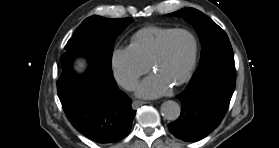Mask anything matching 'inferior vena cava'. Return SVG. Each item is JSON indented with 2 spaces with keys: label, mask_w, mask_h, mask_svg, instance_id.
I'll return each mask as SVG.
<instances>
[{
  "label": "inferior vena cava",
  "mask_w": 279,
  "mask_h": 148,
  "mask_svg": "<svg viewBox=\"0 0 279 148\" xmlns=\"http://www.w3.org/2000/svg\"><path fill=\"white\" fill-rule=\"evenodd\" d=\"M118 83L125 89L132 91L136 88L137 81L132 78H121Z\"/></svg>",
  "instance_id": "602c4592"
}]
</instances>
